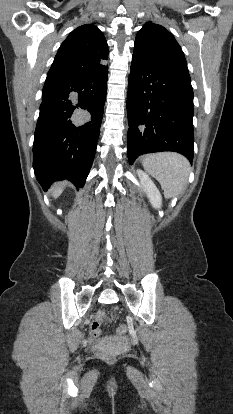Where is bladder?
<instances>
[{
    "mask_svg": "<svg viewBox=\"0 0 233 414\" xmlns=\"http://www.w3.org/2000/svg\"><path fill=\"white\" fill-rule=\"evenodd\" d=\"M122 344H123V341L121 339L109 338L105 341L104 346L109 348V347L120 346Z\"/></svg>",
    "mask_w": 233,
    "mask_h": 414,
    "instance_id": "1",
    "label": "bladder"
}]
</instances>
